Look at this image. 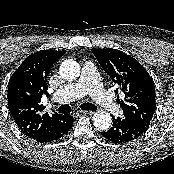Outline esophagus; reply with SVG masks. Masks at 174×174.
<instances>
[{
  "label": "esophagus",
  "instance_id": "34e87169",
  "mask_svg": "<svg viewBox=\"0 0 174 174\" xmlns=\"http://www.w3.org/2000/svg\"><path fill=\"white\" fill-rule=\"evenodd\" d=\"M79 112L85 115H92L94 113L92 110H80Z\"/></svg>",
  "mask_w": 174,
  "mask_h": 174
}]
</instances>
